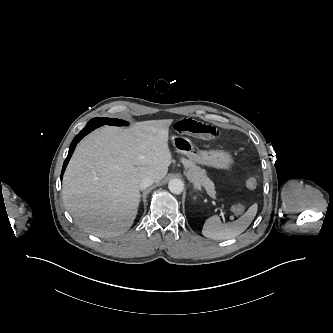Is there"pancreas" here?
I'll return each instance as SVG.
<instances>
[{
	"instance_id": "pancreas-1",
	"label": "pancreas",
	"mask_w": 333,
	"mask_h": 333,
	"mask_svg": "<svg viewBox=\"0 0 333 333\" xmlns=\"http://www.w3.org/2000/svg\"><path fill=\"white\" fill-rule=\"evenodd\" d=\"M182 163L187 169V178L196 186H203L212 198L215 196V186L212 180L207 176L206 171L196 166L193 162L182 159Z\"/></svg>"
}]
</instances>
